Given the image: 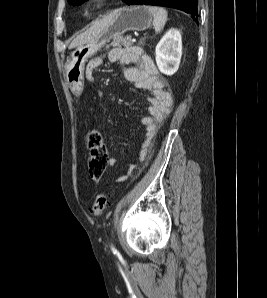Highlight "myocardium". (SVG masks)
<instances>
[{
  "label": "myocardium",
  "instance_id": "myocardium-1",
  "mask_svg": "<svg viewBox=\"0 0 267 298\" xmlns=\"http://www.w3.org/2000/svg\"><path fill=\"white\" fill-rule=\"evenodd\" d=\"M105 0H89L87 2V10L88 11H97L102 7Z\"/></svg>",
  "mask_w": 267,
  "mask_h": 298
}]
</instances>
